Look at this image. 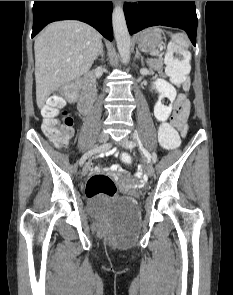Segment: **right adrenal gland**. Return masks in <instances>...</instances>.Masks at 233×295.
<instances>
[{
	"mask_svg": "<svg viewBox=\"0 0 233 295\" xmlns=\"http://www.w3.org/2000/svg\"><path fill=\"white\" fill-rule=\"evenodd\" d=\"M101 57V61H103L104 60V47H103V44H102V47H101V50H100V52H99V54H98V57ZM98 57L96 58V59H98Z\"/></svg>",
	"mask_w": 233,
	"mask_h": 295,
	"instance_id": "2a0ac1e0",
	"label": "right adrenal gland"
}]
</instances>
